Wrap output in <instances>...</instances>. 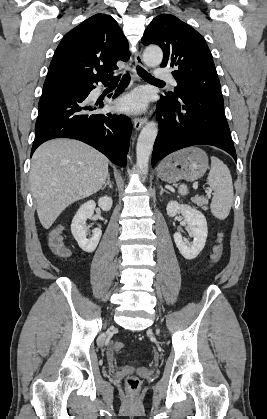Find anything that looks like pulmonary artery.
I'll list each match as a JSON object with an SVG mask.
<instances>
[{
  "label": "pulmonary artery",
  "instance_id": "1",
  "mask_svg": "<svg viewBox=\"0 0 267 419\" xmlns=\"http://www.w3.org/2000/svg\"><path fill=\"white\" fill-rule=\"evenodd\" d=\"M155 78L159 80H166L173 86L177 85V82L174 79V77L169 72L162 69H158L155 71Z\"/></svg>",
  "mask_w": 267,
  "mask_h": 419
}]
</instances>
